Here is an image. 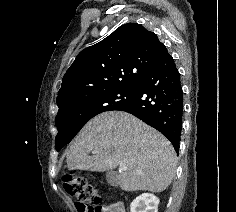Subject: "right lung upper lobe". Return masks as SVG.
Returning a JSON list of instances; mask_svg holds the SVG:
<instances>
[{"mask_svg": "<svg viewBox=\"0 0 236 212\" xmlns=\"http://www.w3.org/2000/svg\"><path fill=\"white\" fill-rule=\"evenodd\" d=\"M166 51L157 35L142 25L120 26L77 55L62 79L59 109L93 94L137 85Z\"/></svg>", "mask_w": 236, "mask_h": 212, "instance_id": "1", "label": "right lung upper lobe"}]
</instances>
